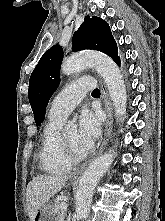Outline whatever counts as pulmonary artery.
<instances>
[{
  "label": "pulmonary artery",
  "instance_id": "obj_1",
  "mask_svg": "<svg viewBox=\"0 0 165 221\" xmlns=\"http://www.w3.org/2000/svg\"><path fill=\"white\" fill-rule=\"evenodd\" d=\"M95 85L91 77L80 78L69 83L53 99L49 109V118L64 120L81 102L85 93L94 89Z\"/></svg>",
  "mask_w": 165,
  "mask_h": 221
}]
</instances>
